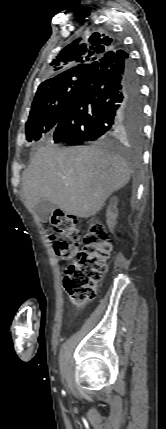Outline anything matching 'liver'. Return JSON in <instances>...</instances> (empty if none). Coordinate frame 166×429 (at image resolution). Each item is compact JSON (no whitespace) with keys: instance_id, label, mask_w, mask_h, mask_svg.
I'll list each match as a JSON object with an SVG mask.
<instances>
[{"instance_id":"6515ba94","label":"liver","mask_w":166,"mask_h":429,"mask_svg":"<svg viewBox=\"0 0 166 429\" xmlns=\"http://www.w3.org/2000/svg\"><path fill=\"white\" fill-rule=\"evenodd\" d=\"M131 168L120 156L99 147L40 148L23 174L25 205L48 200L67 214L89 218L130 180Z\"/></svg>"}]
</instances>
